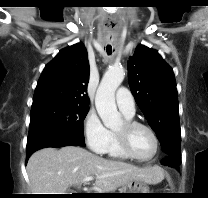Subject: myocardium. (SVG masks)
Wrapping results in <instances>:
<instances>
[{
	"mask_svg": "<svg viewBox=\"0 0 208 198\" xmlns=\"http://www.w3.org/2000/svg\"><path fill=\"white\" fill-rule=\"evenodd\" d=\"M123 125H124V127H123L122 131H119V132L114 131L115 138H116V140L118 142V145L120 146L121 150L129 158H131L135 161H138V162H149L152 159H154L155 156L157 155L158 151H159V139H158V136H157L156 132L154 131V129L151 126H149V125H147L143 122L132 120V119H125L123 121ZM137 127H141V128L146 129L151 134V136L153 137L154 151H153L152 155L149 156L148 158H140V157L136 156L130 148L129 132L132 129L137 128Z\"/></svg>",
	"mask_w": 208,
	"mask_h": 198,
	"instance_id": "myocardium-1",
	"label": "myocardium"
}]
</instances>
